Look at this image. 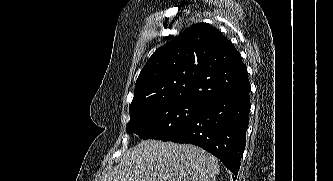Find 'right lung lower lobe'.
I'll return each mask as SVG.
<instances>
[{
	"label": "right lung lower lobe",
	"instance_id": "1",
	"mask_svg": "<svg viewBox=\"0 0 333 181\" xmlns=\"http://www.w3.org/2000/svg\"><path fill=\"white\" fill-rule=\"evenodd\" d=\"M250 85L205 101L195 118L168 141L197 145L218 157L235 175L246 143ZM234 178V179H235Z\"/></svg>",
	"mask_w": 333,
	"mask_h": 181
}]
</instances>
